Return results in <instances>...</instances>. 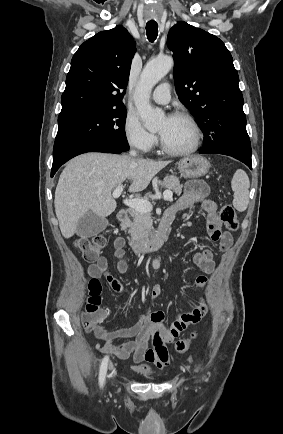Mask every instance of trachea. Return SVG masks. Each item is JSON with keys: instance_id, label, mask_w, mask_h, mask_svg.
I'll use <instances>...</instances> for the list:
<instances>
[{"instance_id": "3493384b", "label": "trachea", "mask_w": 283, "mask_h": 434, "mask_svg": "<svg viewBox=\"0 0 283 434\" xmlns=\"http://www.w3.org/2000/svg\"><path fill=\"white\" fill-rule=\"evenodd\" d=\"M146 33L150 42L155 41L158 35V24L154 21H149L146 24Z\"/></svg>"}]
</instances>
